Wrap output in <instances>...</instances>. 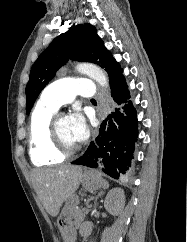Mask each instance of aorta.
Listing matches in <instances>:
<instances>
[{"mask_svg": "<svg viewBox=\"0 0 187 242\" xmlns=\"http://www.w3.org/2000/svg\"><path fill=\"white\" fill-rule=\"evenodd\" d=\"M76 70L79 73L88 75L103 88H107L109 86V80L105 72L94 64L80 63L76 66Z\"/></svg>", "mask_w": 187, "mask_h": 242, "instance_id": "obj_1", "label": "aorta"}]
</instances>
